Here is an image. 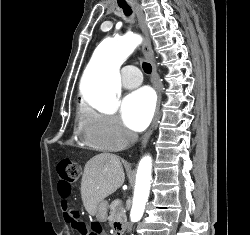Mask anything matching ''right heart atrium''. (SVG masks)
<instances>
[{"instance_id":"d8ad5b80","label":"right heart atrium","mask_w":250,"mask_h":235,"mask_svg":"<svg viewBox=\"0 0 250 235\" xmlns=\"http://www.w3.org/2000/svg\"><path fill=\"white\" fill-rule=\"evenodd\" d=\"M81 133L86 143L101 150L119 151L134 140L115 114L92 109L84 112Z\"/></svg>"}]
</instances>
